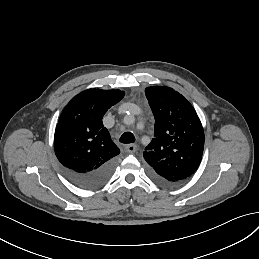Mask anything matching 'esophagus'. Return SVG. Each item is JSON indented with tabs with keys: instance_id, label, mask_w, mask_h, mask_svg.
Wrapping results in <instances>:
<instances>
[{
	"instance_id": "esophagus-1",
	"label": "esophagus",
	"mask_w": 259,
	"mask_h": 259,
	"mask_svg": "<svg viewBox=\"0 0 259 259\" xmlns=\"http://www.w3.org/2000/svg\"><path fill=\"white\" fill-rule=\"evenodd\" d=\"M138 150V146L136 144H129L125 146V151L128 153H134Z\"/></svg>"
}]
</instances>
